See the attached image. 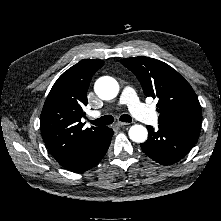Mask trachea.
I'll use <instances>...</instances> for the list:
<instances>
[{
  "label": "trachea",
  "instance_id": "trachea-1",
  "mask_svg": "<svg viewBox=\"0 0 221 221\" xmlns=\"http://www.w3.org/2000/svg\"><path fill=\"white\" fill-rule=\"evenodd\" d=\"M119 120L122 122H132V118L127 114L121 115ZM113 121H114L113 116L106 115L96 120H91L90 123L96 126H105L113 123Z\"/></svg>",
  "mask_w": 221,
  "mask_h": 221
}]
</instances>
